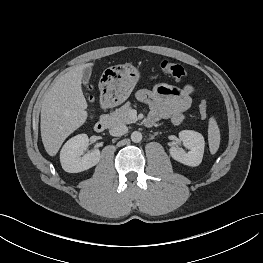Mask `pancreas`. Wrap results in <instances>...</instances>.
<instances>
[{
  "label": "pancreas",
  "mask_w": 263,
  "mask_h": 263,
  "mask_svg": "<svg viewBox=\"0 0 263 263\" xmlns=\"http://www.w3.org/2000/svg\"><path fill=\"white\" fill-rule=\"evenodd\" d=\"M130 110L131 106L129 104H125L122 107L116 109L114 112L108 114L106 117L112 126L117 124L135 123L136 120L129 115Z\"/></svg>",
  "instance_id": "pancreas-1"
}]
</instances>
